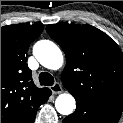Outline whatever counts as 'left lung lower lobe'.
Returning <instances> with one entry per match:
<instances>
[{
  "label": "left lung lower lobe",
  "instance_id": "0a47b994",
  "mask_svg": "<svg viewBox=\"0 0 123 123\" xmlns=\"http://www.w3.org/2000/svg\"><path fill=\"white\" fill-rule=\"evenodd\" d=\"M76 111L67 116L63 123H117L121 112L108 106L76 99Z\"/></svg>",
  "mask_w": 123,
  "mask_h": 123
}]
</instances>
